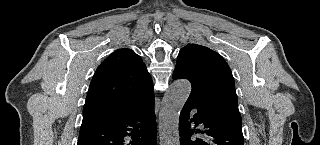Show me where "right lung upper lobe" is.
I'll return each instance as SVG.
<instances>
[{
  "mask_svg": "<svg viewBox=\"0 0 320 145\" xmlns=\"http://www.w3.org/2000/svg\"><path fill=\"white\" fill-rule=\"evenodd\" d=\"M153 96L152 79L141 57L131 49L116 50L92 78L82 124L125 116L142 108Z\"/></svg>",
  "mask_w": 320,
  "mask_h": 145,
  "instance_id": "right-lung-upper-lobe-1",
  "label": "right lung upper lobe"
}]
</instances>
